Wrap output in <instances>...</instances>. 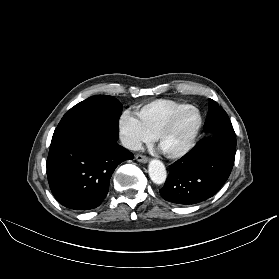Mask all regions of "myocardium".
Here are the masks:
<instances>
[{
  "instance_id": "f54148a6",
  "label": "myocardium",
  "mask_w": 279,
  "mask_h": 279,
  "mask_svg": "<svg viewBox=\"0 0 279 279\" xmlns=\"http://www.w3.org/2000/svg\"><path fill=\"white\" fill-rule=\"evenodd\" d=\"M188 110H194L197 115H198V123L194 129V131L192 132L189 140L187 141V143L184 145V147H182L180 150L175 151V152H165L161 149V141L164 138V136L170 131V129L172 128V126L174 125V123L176 122V120L186 111ZM203 125V117L202 114L200 112V110L193 106V105H187L185 107H182L178 110H176L174 113H172L169 118L165 121V123L160 127V129L157 131V133L155 134V141L157 143V145L159 146V148L163 151L164 155L169 158V159H179L182 158L183 156H185L186 154H188L190 152V150L192 149V147L195 144V141L197 139V136L202 128Z\"/></svg>"
}]
</instances>
